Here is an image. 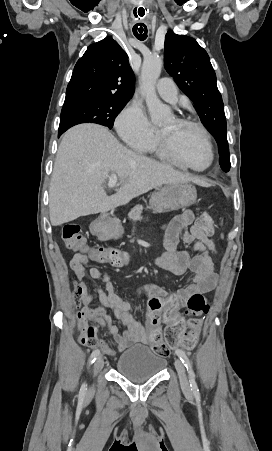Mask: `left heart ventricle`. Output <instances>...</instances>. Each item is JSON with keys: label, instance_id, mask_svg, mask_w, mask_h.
<instances>
[{"label": "left heart ventricle", "instance_id": "obj_1", "mask_svg": "<svg viewBox=\"0 0 272 451\" xmlns=\"http://www.w3.org/2000/svg\"><path fill=\"white\" fill-rule=\"evenodd\" d=\"M169 145L178 153L181 161L191 168L202 170L210 162L209 151L200 135L193 127L181 125L168 119L162 126Z\"/></svg>", "mask_w": 272, "mask_h": 451}]
</instances>
